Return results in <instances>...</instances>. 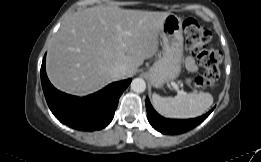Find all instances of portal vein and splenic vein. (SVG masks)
Listing matches in <instances>:
<instances>
[{
  "label": "portal vein and splenic vein",
  "instance_id": "1",
  "mask_svg": "<svg viewBox=\"0 0 261 162\" xmlns=\"http://www.w3.org/2000/svg\"><path fill=\"white\" fill-rule=\"evenodd\" d=\"M125 34H129V32H126ZM171 85L179 94H184V91L180 90L176 83L172 82Z\"/></svg>",
  "mask_w": 261,
  "mask_h": 162
}]
</instances>
